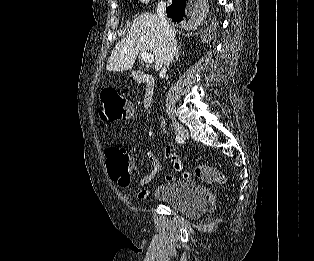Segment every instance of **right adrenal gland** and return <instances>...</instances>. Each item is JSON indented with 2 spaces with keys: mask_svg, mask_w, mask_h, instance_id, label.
<instances>
[{
  "mask_svg": "<svg viewBox=\"0 0 314 261\" xmlns=\"http://www.w3.org/2000/svg\"><path fill=\"white\" fill-rule=\"evenodd\" d=\"M179 49H180V45L177 47V50H176V54H175V58H174V62H176L179 58Z\"/></svg>",
  "mask_w": 314,
  "mask_h": 261,
  "instance_id": "obj_1",
  "label": "right adrenal gland"
}]
</instances>
